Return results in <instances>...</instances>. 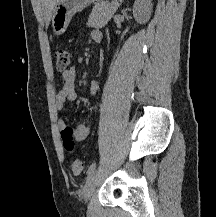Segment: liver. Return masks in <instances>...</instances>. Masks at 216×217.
Returning a JSON list of instances; mask_svg holds the SVG:
<instances>
[{
	"label": "liver",
	"mask_w": 216,
	"mask_h": 217,
	"mask_svg": "<svg viewBox=\"0 0 216 217\" xmlns=\"http://www.w3.org/2000/svg\"><path fill=\"white\" fill-rule=\"evenodd\" d=\"M59 0H41L42 5L46 12V26L49 25V22L52 18L53 11L55 9V5Z\"/></svg>",
	"instance_id": "1"
}]
</instances>
